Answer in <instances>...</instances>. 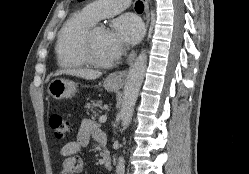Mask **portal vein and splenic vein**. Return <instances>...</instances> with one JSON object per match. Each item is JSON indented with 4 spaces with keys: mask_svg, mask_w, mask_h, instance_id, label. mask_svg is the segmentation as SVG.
Here are the masks:
<instances>
[{
    "mask_svg": "<svg viewBox=\"0 0 249 174\" xmlns=\"http://www.w3.org/2000/svg\"><path fill=\"white\" fill-rule=\"evenodd\" d=\"M106 120H107V117L104 116V115H102V116L99 117V122H100V123H105Z\"/></svg>",
    "mask_w": 249,
    "mask_h": 174,
    "instance_id": "portal-vein-and-splenic-vein-1",
    "label": "portal vein and splenic vein"
}]
</instances>
